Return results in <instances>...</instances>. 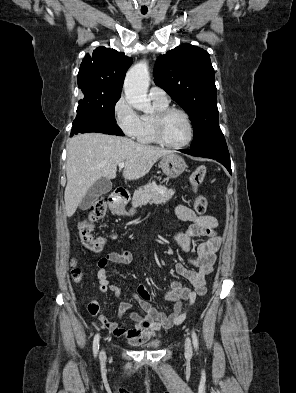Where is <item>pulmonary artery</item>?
Instances as JSON below:
<instances>
[{
  "mask_svg": "<svg viewBox=\"0 0 296 393\" xmlns=\"http://www.w3.org/2000/svg\"><path fill=\"white\" fill-rule=\"evenodd\" d=\"M149 96L152 101H156L162 104L169 103V97L167 93L158 86H152L149 90Z\"/></svg>",
  "mask_w": 296,
  "mask_h": 393,
  "instance_id": "pulmonary-artery-1",
  "label": "pulmonary artery"
}]
</instances>
